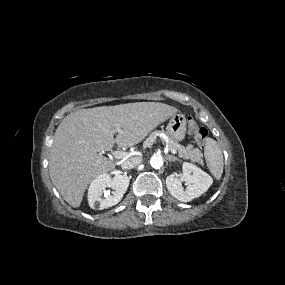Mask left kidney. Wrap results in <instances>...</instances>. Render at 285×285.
I'll use <instances>...</instances> for the list:
<instances>
[{
	"mask_svg": "<svg viewBox=\"0 0 285 285\" xmlns=\"http://www.w3.org/2000/svg\"><path fill=\"white\" fill-rule=\"evenodd\" d=\"M183 173H174L166 178V186L172 196L182 202H189L201 196L212 185V178L197 166L183 163ZM182 181L190 185L184 190Z\"/></svg>",
	"mask_w": 285,
	"mask_h": 285,
	"instance_id": "obj_1",
	"label": "left kidney"
}]
</instances>
